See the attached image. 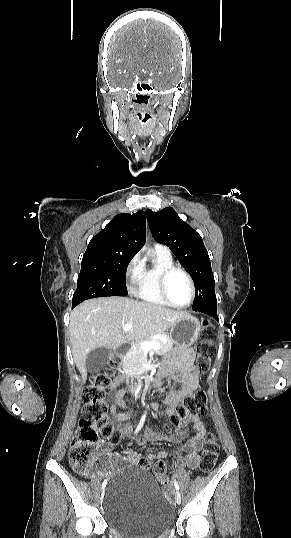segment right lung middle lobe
I'll list each match as a JSON object with an SVG mask.
<instances>
[{
  "label": "right lung middle lobe",
  "mask_w": 291,
  "mask_h": 538,
  "mask_svg": "<svg viewBox=\"0 0 291 538\" xmlns=\"http://www.w3.org/2000/svg\"><path fill=\"white\" fill-rule=\"evenodd\" d=\"M133 255L85 253L72 304L103 296H127L126 270Z\"/></svg>",
  "instance_id": "1"
}]
</instances>
